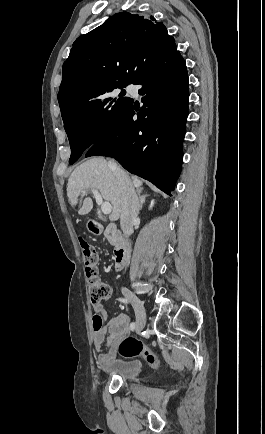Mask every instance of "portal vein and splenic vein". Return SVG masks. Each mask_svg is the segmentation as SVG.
<instances>
[{"label": "portal vein and splenic vein", "mask_w": 265, "mask_h": 434, "mask_svg": "<svg viewBox=\"0 0 265 434\" xmlns=\"http://www.w3.org/2000/svg\"><path fill=\"white\" fill-rule=\"evenodd\" d=\"M92 194H94L95 196L96 204H98V206H101V210L103 214H111L112 212L111 204H109V202H103L102 196H100L98 190H92Z\"/></svg>", "instance_id": "obj_1"}]
</instances>
